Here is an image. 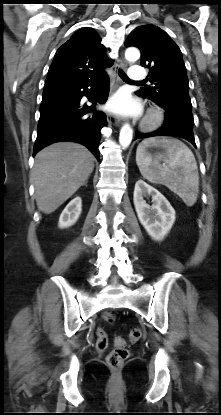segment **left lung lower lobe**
I'll return each instance as SVG.
<instances>
[{"instance_id": "1", "label": "left lung lower lobe", "mask_w": 221, "mask_h": 415, "mask_svg": "<svg viewBox=\"0 0 221 415\" xmlns=\"http://www.w3.org/2000/svg\"><path fill=\"white\" fill-rule=\"evenodd\" d=\"M159 105L165 110V121L162 127L151 133L137 132L135 140L154 136H175L188 140L196 147L193 134L192 105L184 102H170Z\"/></svg>"}]
</instances>
